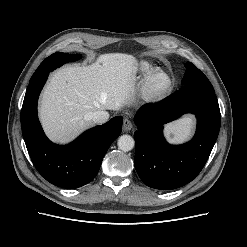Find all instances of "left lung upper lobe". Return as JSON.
Instances as JSON below:
<instances>
[{
    "label": "left lung upper lobe",
    "mask_w": 247,
    "mask_h": 247,
    "mask_svg": "<svg viewBox=\"0 0 247 247\" xmlns=\"http://www.w3.org/2000/svg\"><path fill=\"white\" fill-rule=\"evenodd\" d=\"M186 71L182 80V85L198 84L207 87H212L207 77L194 64L187 62L184 64Z\"/></svg>",
    "instance_id": "5c2ea615"
}]
</instances>
